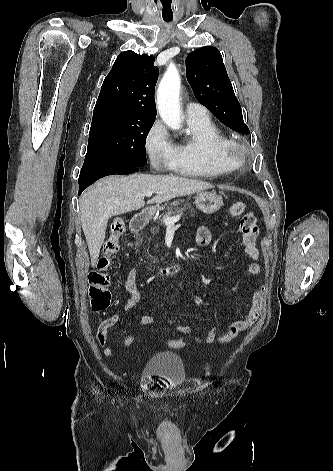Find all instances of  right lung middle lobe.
<instances>
[{
	"instance_id": "obj_1",
	"label": "right lung middle lobe",
	"mask_w": 333,
	"mask_h": 471,
	"mask_svg": "<svg viewBox=\"0 0 333 471\" xmlns=\"http://www.w3.org/2000/svg\"><path fill=\"white\" fill-rule=\"evenodd\" d=\"M154 121L115 114L93 117L84 165H146L145 142Z\"/></svg>"
}]
</instances>
